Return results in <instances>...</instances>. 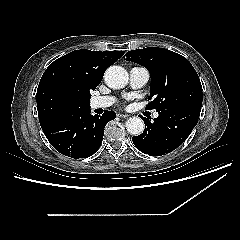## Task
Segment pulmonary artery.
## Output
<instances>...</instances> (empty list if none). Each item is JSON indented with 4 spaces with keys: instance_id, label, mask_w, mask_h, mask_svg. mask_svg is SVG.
<instances>
[{
    "instance_id": "e3ab8cb5",
    "label": "pulmonary artery",
    "mask_w": 240,
    "mask_h": 240,
    "mask_svg": "<svg viewBox=\"0 0 240 240\" xmlns=\"http://www.w3.org/2000/svg\"><path fill=\"white\" fill-rule=\"evenodd\" d=\"M149 72L143 67H133L129 73V85L132 89H140L146 85L149 80ZM116 102L114 96H101L95 97L91 101L93 108H106L113 105ZM158 112L154 113V117H158Z\"/></svg>"
}]
</instances>
